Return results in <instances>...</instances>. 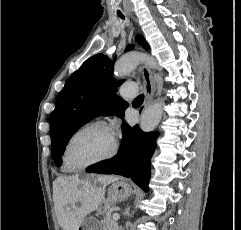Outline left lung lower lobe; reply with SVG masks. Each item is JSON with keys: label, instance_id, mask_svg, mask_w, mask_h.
Here are the masks:
<instances>
[{"label": "left lung lower lobe", "instance_id": "obj_1", "mask_svg": "<svg viewBox=\"0 0 241 230\" xmlns=\"http://www.w3.org/2000/svg\"><path fill=\"white\" fill-rule=\"evenodd\" d=\"M122 127L123 136L118 154L109 160L90 166L86 171L131 178L147 192L150 160L156 147L158 134L142 132L138 126L131 128L125 121Z\"/></svg>", "mask_w": 241, "mask_h": 230}]
</instances>
